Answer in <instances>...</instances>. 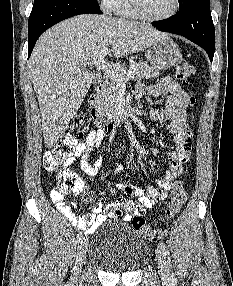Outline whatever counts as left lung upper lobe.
<instances>
[{"label":"left lung upper lobe","instance_id":"left-lung-upper-lobe-1","mask_svg":"<svg viewBox=\"0 0 233 286\" xmlns=\"http://www.w3.org/2000/svg\"><path fill=\"white\" fill-rule=\"evenodd\" d=\"M194 0H179V13L185 11Z\"/></svg>","mask_w":233,"mask_h":286}]
</instances>
